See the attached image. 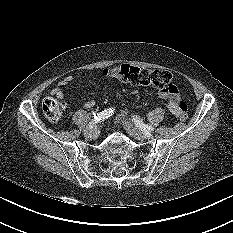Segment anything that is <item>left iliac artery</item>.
Here are the masks:
<instances>
[{
    "label": "left iliac artery",
    "instance_id": "44dca946",
    "mask_svg": "<svg viewBox=\"0 0 233 233\" xmlns=\"http://www.w3.org/2000/svg\"><path fill=\"white\" fill-rule=\"evenodd\" d=\"M133 117V121L135 122V125L137 127H139L142 131H145V132H151L154 130V127L151 126V125H146L144 124L140 118H138L137 116H132Z\"/></svg>",
    "mask_w": 233,
    "mask_h": 233
}]
</instances>
